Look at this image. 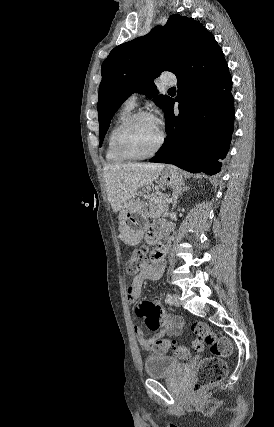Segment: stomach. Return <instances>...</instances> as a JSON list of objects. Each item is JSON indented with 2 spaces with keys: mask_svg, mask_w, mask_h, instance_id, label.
<instances>
[{
  "mask_svg": "<svg viewBox=\"0 0 274 427\" xmlns=\"http://www.w3.org/2000/svg\"><path fill=\"white\" fill-rule=\"evenodd\" d=\"M158 184L167 186V188H180L184 184L183 174L175 166H167L163 174H161ZM148 225V215L142 202L134 200V202H130V206L122 208L119 212L120 235L128 245H137Z\"/></svg>",
  "mask_w": 274,
  "mask_h": 427,
  "instance_id": "obj_1",
  "label": "stomach"
}]
</instances>
